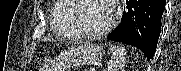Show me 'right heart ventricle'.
Returning a JSON list of instances; mask_svg holds the SVG:
<instances>
[{"mask_svg": "<svg viewBox=\"0 0 181 71\" xmlns=\"http://www.w3.org/2000/svg\"><path fill=\"white\" fill-rule=\"evenodd\" d=\"M72 5L64 0L54 2L51 13V28L54 34L61 38H79L71 26Z\"/></svg>", "mask_w": 181, "mask_h": 71, "instance_id": "e07e8e85", "label": "right heart ventricle"}]
</instances>
